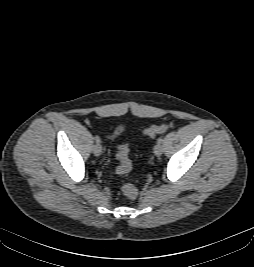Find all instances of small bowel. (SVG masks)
I'll return each instance as SVG.
<instances>
[{
  "instance_id": "obj_1",
  "label": "small bowel",
  "mask_w": 254,
  "mask_h": 267,
  "mask_svg": "<svg viewBox=\"0 0 254 267\" xmlns=\"http://www.w3.org/2000/svg\"><path fill=\"white\" fill-rule=\"evenodd\" d=\"M126 128L124 125H120L118 127L115 128V130L111 133L107 135V138L110 140H114L116 138H118L119 136H121L124 132H125Z\"/></svg>"
}]
</instances>
